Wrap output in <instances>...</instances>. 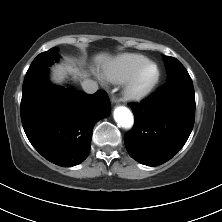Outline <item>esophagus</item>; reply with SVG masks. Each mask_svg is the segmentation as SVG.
Returning <instances> with one entry per match:
<instances>
[{
  "instance_id": "34e87169",
  "label": "esophagus",
  "mask_w": 222,
  "mask_h": 222,
  "mask_svg": "<svg viewBox=\"0 0 222 222\" xmlns=\"http://www.w3.org/2000/svg\"><path fill=\"white\" fill-rule=\"evenodd\" d=\"M111 102L114 103V104L118 103L119 102V98L116 95H112Z\"/></svg>"
}]
</instances>
